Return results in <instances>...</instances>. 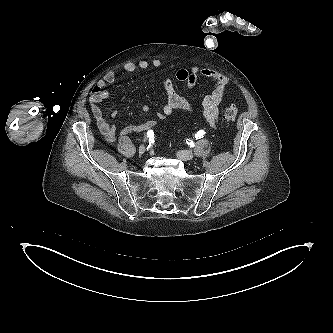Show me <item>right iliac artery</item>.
Listing matches in <instances>:
<instances>
[{"mask_svg":"<svg viewBox=\"0 0 333 333\" xmlns=\"http://www.w3.org/2000/svg\"><path fill=\"white\" fill-rule=\"evenodd\" d=\"M147 137L149 138V140H152V138L154 137V132H153V130H149V131L147 132Z\"/></svg>","mask_w":333,"mask_h":333,"instance_id":"82829eb1","label":"right iliac artery"}]
</instances>
